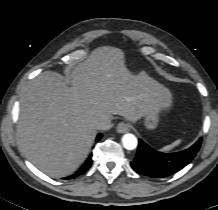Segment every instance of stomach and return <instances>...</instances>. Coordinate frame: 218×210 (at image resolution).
I'll return each instance as SVG.
<instances>
[{"mask_svg":"<svg viewBox=\"0 0 218 210\" xmlns=\"http://www.w3.org/2000/svg\"><path fill=\"white\" fill-rule=\"evenodd\" d=\"M161 106L157 103L150 105L145 113L144 121L147 129H154L158 125L160 118Z\"/></svg>","mask_w":218,"mask_h":210,"instance_id":"obj_1","label":"stomach"}]
</instances>
